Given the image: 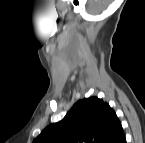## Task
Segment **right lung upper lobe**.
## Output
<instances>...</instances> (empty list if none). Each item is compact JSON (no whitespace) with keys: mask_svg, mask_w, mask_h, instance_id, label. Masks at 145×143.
<instances>
[{"mask_svg":"<svg viewBox=\"0 0 145 143\" xmlns=\"http://www.w3.org/2000/svg\"><path fill=\"white\" fill-rule=\"evenodd\" d=\"M121 123L107 102L78 101L58 123L47 126L34 143H125Z\"/></svg>","mask_w":145,"mask_h":143,"instance_id":"cb5924a9","label":"right lung upper lobe"}]
</instances>
